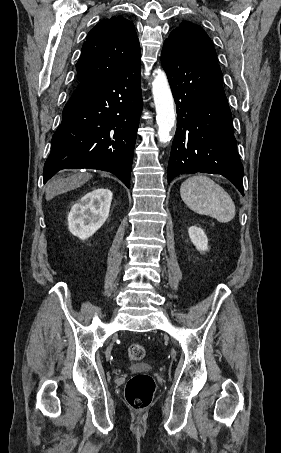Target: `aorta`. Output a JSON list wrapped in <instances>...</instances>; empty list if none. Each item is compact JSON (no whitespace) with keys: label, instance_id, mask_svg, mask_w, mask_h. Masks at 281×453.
<instances>
[{"label":"aorta","instance_id":"762f6f07","mask_svg":"<svg viewBox=\"0 0 281 453\" xmlns=\"http://www.w3.org/2000/svg\"><path fill=\"white\" fill-rule=\"evenodd\" d=\"M153 76L152 94L157 114L158 138L161 143H166L171 139L170 132L176 120L174 99L165 72L156 69Z\"/></svg>","mask_w":281,"mask_h":453}]
</instances>
